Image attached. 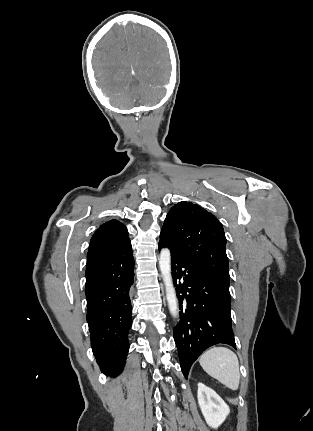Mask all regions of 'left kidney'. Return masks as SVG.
<instances>
[{
    "label": "left kidney",
    "instance_id": "1",
    "mask_svg": "<svg viewBox=\"0 0 313 431\" xmlns=\"http://www.w3.org/2000/svg\"><path fill=\"white\" fill-rule=\"evenodd\" d=\"M198 404L206 423L212 428H218L230 413L229 406L211 388L198 384Z\"/></svg>",
    "mask_w": 313,
    "mask_h": 431
}]
</instances>
